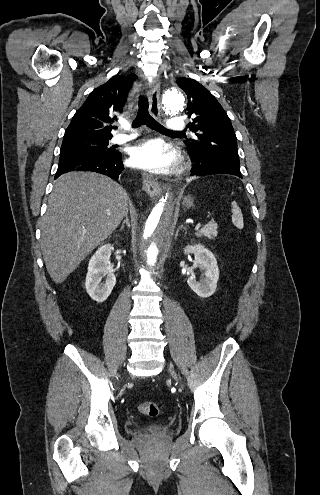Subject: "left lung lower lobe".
Segmentation results:
<instances>
[{
	"instance_id": "0a47b994",
	"label": "left lung lower lobe",
	"mask_w": 320,
	"mask_h": 495,
	"mask_svg": "<svg viewBox=\"0 0 320 495\" xmlns=\"http://www.w3.org/2000/svg\"><path fill=\"white\" fill-rule=\"evenodd\" d=\"M189 155L191 157V161L195 163L191 169V175L206 176L213 174H231L242 178L239 167L221 163H213L211 160L205 159L202 155L191 153H189Z\"/></svg>"
}]
</instances>
